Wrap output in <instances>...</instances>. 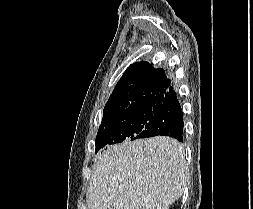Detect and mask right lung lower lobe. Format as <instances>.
Returning <instances> with one entry per match:
<instances>
[{
    "mask_svg": "<svg viewBox=\"0 0 253 209\" xmlns=\"http://www.w3.org/2000/svg\"><path fill=\"white\" fill-rule=\"evenodd\" d=\"M152 107L158 111V117L148 129L140 133V138L169 136L183 143V113L173 87L171 86Z\"/></svg>",
    "mask_w": 253,
    "mask_h": 209,
    "instance_id": "right-lung-lower-lobe-1",
    "label": "right lung lower lobe"
}]
</instances>
